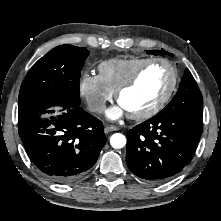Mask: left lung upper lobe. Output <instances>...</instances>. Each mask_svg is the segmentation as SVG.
Instances as JSON below:
<instances>
[{
  "label": "left lung upper lobe",
  "mask_w": 221,
  "mask_h": 221,
  "mask_svg": "<svg viewBox=\"0 0 221 221\" xmlns=\"http://www.w3.org/2000/svg\"><path fill=\"white\" fill-rule=\"evenodd\" d=\"M147 52L153 53V51ZM164 109L173 110L202 122L203 98L188 69L185 70L177 94Z\"/></svg>",
  "instance_id": "5c2ea615"
}]
</instances>
